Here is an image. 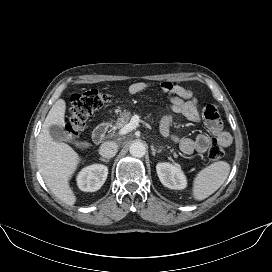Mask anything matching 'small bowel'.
Masks as SVG:
<instances>
[{"label": "small bowel", "instance_id": "c3829d8e", "mask_svg": "<svg viewBox=\"0 0 272 272\" xmlns=\"http://www.w3.org/2000/svg\"><path fill=\"white\" fill-rule=\"evenodd\" d=\"M145 90H152L168 97L169 104L167 109L170 113L162 117L160 132L163 136L171 137L174 141L179 142L180 149L184 154L191 155L195 152L200 154L205 153L211 144V139L204 133L198 134L195 138L180 139L172 129V114H180L191 122L203 121L210 134L220 145L227 147L231 144V136L223 130L222 122L215 107L208 105L205 108L202 118L198 101L193 98L190 90L171 82H163L160 85H155L150 82L139 81L128 87V92L131 95H136Z\"/></svg>", "mask_w": 272, "mask_h": 272}]
</instances>
